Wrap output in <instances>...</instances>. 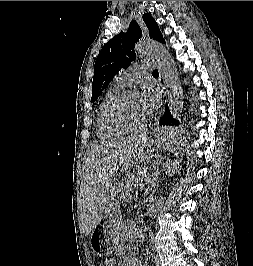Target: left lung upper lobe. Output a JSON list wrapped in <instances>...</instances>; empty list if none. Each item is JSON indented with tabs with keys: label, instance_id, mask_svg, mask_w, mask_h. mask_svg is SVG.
I'll list each match as a JSON object with an SVG mask.
<instances>
[{
	"label": "left lung upper lobe",
	"instance_id": "1",
	"mask_svg": "<svg viewBox=\"0 0 253 266\" xmlns=\"http://www.w3.org/2000/svg\"><path fill=\"white\" fill-rule=\"evenodd\" d=\"M143 20L149 30L150 38L164 43L154 18L145 13ZM140 38L141 28L136 21H132L127 32H120L103 46L95 62L92 103L97 100L114 76L122 69L130 66L132 60L136 58L134 46Z\"/></svg>",
	"mask_w": 253,
	"mask_h": 266
}]
</instances>
